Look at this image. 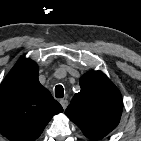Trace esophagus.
<instances>
[{
  "mask_svg": "<svg viewBox=\"0 0 141 141\" xmlns=\"http://www.w3.org/2000/svg\"><path fill=\"white\" fill-rule=\"evenodd\" d=\"M59 102L62 105L63 109L65 110L68 106V101L65 99H61Z\"/></svg>",
  "mask_w": 141,
  "mask_h": 141,
  "instance_id": "1",
  "label": "esophagus"
}]
</instances>
